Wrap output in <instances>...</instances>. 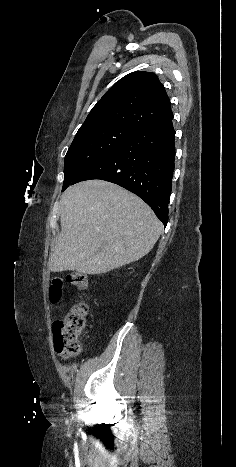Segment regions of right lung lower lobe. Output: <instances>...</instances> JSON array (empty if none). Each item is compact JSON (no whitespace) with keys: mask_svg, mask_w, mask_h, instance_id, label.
I'll use <instances>...</instances> for the list:
<instances>
[{"mask_svg":"<svg viewBox=\"0 0 236 467\" xmlns=\"http://www.w3.org/2000/svg\"><path fill=\"white\" fill-rule=\"evenodd\" d=\"M172 120L173 114L138 131L88 167L71 185L89 179L118 184L142 198L166 226L175 167Z\"/></svg>","mask_w":236,"mask_h":467,"instance_id":"right-lung-lower-lobe-1","label":"right lung lower lobe"}]
</instances>
